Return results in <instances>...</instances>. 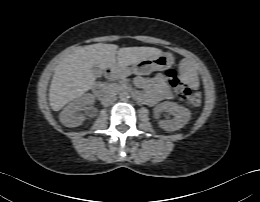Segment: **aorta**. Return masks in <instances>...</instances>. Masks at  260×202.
I'll use <instances>...</instances> for the list:
<instances>
[{"mask_svg": "<svg viewBox=\"0 0 260 202\" xmlns=\"http://www.w3.org/2000/svg\"><path fill=\"white\" fill-rule=\"evenodd\" d=\"M121 100H127L129 98V93L127 91H122L119 95Z\"/></svg>", "mask_w": 260, "mask_h": 202, "instance_id": "obj_1", "label": "aorta"}]
</instances>
